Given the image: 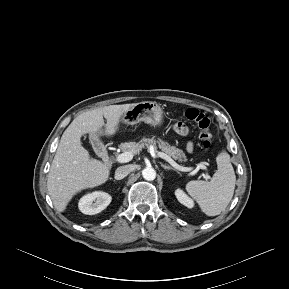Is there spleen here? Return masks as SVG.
Here are the masks:
<instances>
[{
	"mask_svg": "<svg viewBox=\"0 0 289 289\" xmlns=\"http://www.w3.org/2000/svg\"><path fill=\"white\" fill-rule=\"evenodd\" d=\"M216 162L217 171L210 181L196 180L186 184V191L207 216H217L224 211L235 189L236 176L229 154L222 150Z\"/></svg>",
	"mask_w": 289,
	"mask_h": 289,
	"instance_id": "obj_1",
	"label": "spleen"
}]
</instances>
